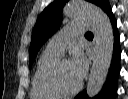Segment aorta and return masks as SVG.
Returning a JSON list of instances; mask_svg holds the SVG:
<instances>
[{"mask_svg":"<svg viewBox=\"0 0 128 99\" xmlns=\"http://www.w3.org/2000/svg\"><path fill=\"white\" fill-rule=\"evenodd\" d=\"M64 13L69 18L90 21L95 35V57L87 83V95L95 97L101 90L111 64L114 35L108 16L94 4L84 0H71Z\"/></svg>","mask_w":128,"mask_h":99,"instance_id":"aorta-1","label":"aorta"}]
</instances>
